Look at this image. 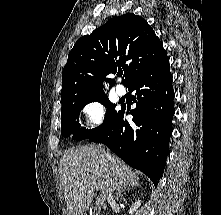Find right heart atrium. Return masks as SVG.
Returning a JSON list of instances; mask_svg holds the SVG:
<instances>
[{"label": "right heart atrium", "mask_w": 221, "mask_h": 215, "mask_svg": "<svg viewBox=\"0 0 221 215\" xmlns=\"http://www.w3.org/2000/svg\"><path fill=\"white\" fill-rule=\"evenodd\" d=\"M81 114L85 126L88 129L98 128L104 121L105 108L98 100H91L85 103L81 108Z\"/></svg>", "instance_id": "obj_1"}]
</instances>
